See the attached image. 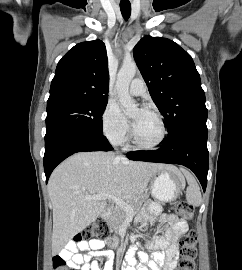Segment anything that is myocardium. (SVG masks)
<instances>
[{"label": "myocardium", "instance_id": "myocardium-1", "mask_svg": "<svg viewBox=\"0 0 242 270\" xmlns=\"http://www.w3.org/2000/svg\"><path fill=\"white\" fill-rule=\"evenodd\" d=\"M146 111L153 114L157 118V120L159 122V125H160V136H159V138L153 143H142V142L137 140V138L135 136L134 128L132 127L131 128V140H132L133 146L138 148V149H141V150H153V149H156V148L160 147L165 142L166 137H167V126H166V123L164 121L163 116L157 110L148 109Z\"/></svg>", "mask_w": 242, "mask_h": 270}]
</instances>
